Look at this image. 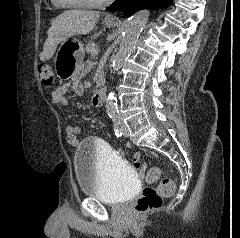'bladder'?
Wrapping results in <instances>:
<instances>
[{"label": "bladder", "mask_w": 240, "mask_h": 238, "mask_svg": "<svg viewBox=\"0 0 240 238\" xmlns=\"http://www.w3.org/2000/svg\"><path fill=\"white\" fill-rule=\"evenodd\" d=\"M73 164L80 191L103 203H124L138 187L134 169L120 154L98 139L82 141L74 152Z\"/></svg>", "instance_id": "bladder-1"}]
</instances>
